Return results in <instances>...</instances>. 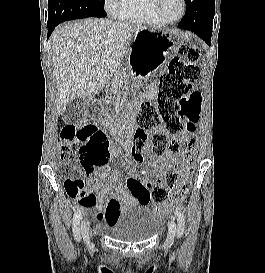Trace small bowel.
<instances>
[{"mask_svg":"<svg viewBox=\"0 0 265 273\" xmlns=\"http://www.w3.org/2000/svg\"><path fill=\"white\" fill-rule=\"evenodd\" d=\"M120 150L113 149V154L117 155ZM170 156L154 157L152 163L147 164L143 168V177L151 174L153 171L161 173L170 165ZM143 164V163H142ZM141 164V165H142ZM128 169H122L124 181H127V193L121 185V171L114 169L108 179L100 173L96 172L95 178L86 183V194L72 198L87 212H93L91 220L92 228L100 231L107 230V227L113 223L119 216L120 212L126 208L138 204H151L152 191L148 190V186L143 183V177H139L137 168L126 162ZM110 188L114 189V196L110 195ZM100 191L99 194H96ZM115 203L118 208L112 210L110 205ZM123 203V206H120ZM170 207L165 205L160 208L159 214L165 216Z\"/></svg>","mask_w":265,"mask_h":273,"instance_id":"c3829d8e","label":"small bowel"}]
</instances>
